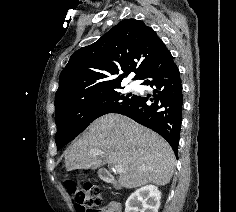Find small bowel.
Segmentation results:
<instances>
[{
	"mask_svg": "<svg viewBox=\"0 0 236 212\" xmlns=\"http://www.w3.org/2000/svg\"><path fill=\"white\" fill-rule=\"evenodd\" d=\"M102 212H121V207L116 202L109 203Z\"/></svg>",
	"mask_w": 236,
	"mask_h": 212,
	"instance_id": "1",
	"label": "small bowel"
}]
</instances>
